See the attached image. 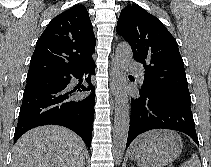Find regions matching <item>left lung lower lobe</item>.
<instances>
[{"label":"left lung lower lobe","instance_id":"1","mask_svg":"<svg viewBox=\"0 0 211 167\" xmlns=\"http://www.w3.org/2000/svg\"><path fill=\"white\" fill-rule=\"evenodd\" d=\"M152 129L183 132L199 145L190 105L140 89L138 97L131 101L127 147L136 136Z\"/></svg>","mask_w":211,"mask_h":167}]
</instances>
